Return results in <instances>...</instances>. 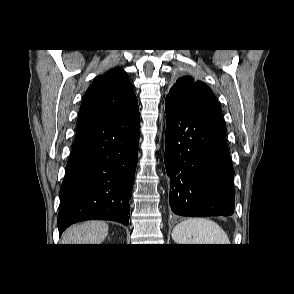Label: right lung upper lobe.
<instances>
[{
    "instance_id": "1",
    "label": "right lung upper lobe",
    "mask_w": 294,
    "mask_h": 294,
    "mask_svg": "<svg viewBox=\"0 0 294 294\" xmlns=\"http://www.w3.org/2000/svg\"><path fill=\"white\" fill-rule=\"evenodd\" d=\"M125 71L113 68L88 88L79 111L78 122L111 116L136 101Z\"/></svg>"
}]
</instances>
